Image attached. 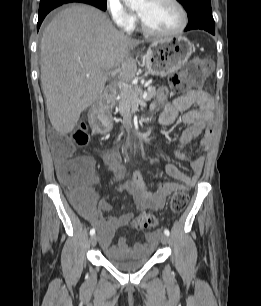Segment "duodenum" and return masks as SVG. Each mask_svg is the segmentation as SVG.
I'll return each instance as SVG.
<instances>
[{"mask_svg":"<svg viewBox=\"0 0 261 306\" xmlns=\"http://www.w3.org/2000/svg\"><path fill=\"white\" fill-rule=\"evenodd\" d=\"M117 97V90L113 86H107L104 92V96L100 101L101 108H109Z\"/></svg>","mask_w":261,"mask_h":306,"instance_id":"obj_1","label":"duodenum"}]
</instances>
